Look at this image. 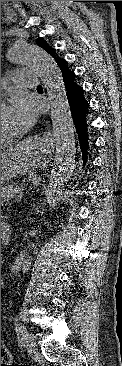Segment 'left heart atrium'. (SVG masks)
<instances>
[{
  "mask_svg": "<svg viewBox=\"0 0 122 366\" xmlns=\"http://www.w3.org/2000/svg\"><path fill=\"white\" fill-rule=\"evenodd\" d=\"M7 111L18 131H24L30 128L37 116L35 101L24 92H16L13 94Z\"/></svg>",
  "mask_w": 122,
  "mask_h": 366,
  "instance_id": "obj_1",
  "label": "left heart atrium"
}]
</instances>
